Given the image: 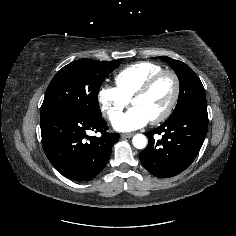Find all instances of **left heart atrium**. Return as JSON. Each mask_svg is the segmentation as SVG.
<instances>
[{
  "label": "left heart atrium",
  "instance_id": "1",
  "mask_svg": "<svg viewBox=\"0 0 236 236\" xmlns=\"http://www.w3.org/2000/svg\"><path fill=\"white\" fill-rule=\"evenodd\" d=\"M149 118L138 107H132L125 113H120L112 119L114 129L120 132L137 130L148 124Z\"/></svg>",
  "mask_w": 236,
  "mask_h": 236
}]
</instances>
